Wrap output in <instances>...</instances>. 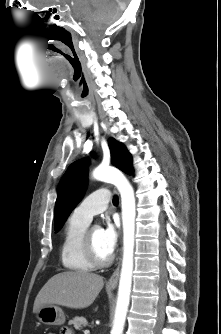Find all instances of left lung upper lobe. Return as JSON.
Wrapping results in <instances>:
<instances>
[{
  "label": "left lung upper lobe",
  "mask_w": 221,
  "mask_h": 334,
  "mask_svg": "<svg viewBox=\"0 0 221 334\" xmlns=\"http://www.w3.org/2000/svg\"><path fill=\"white\" fill-rule=\"evenodd\" d=\"M114 165L125 172L132 174V157L124 145L113 138L108 140ZM86 160L73 162L61 178L57 188V200L55 203L54 230L58 232L66 218L81 200L87 186Z\"/></svg>",
  "instance_id": "5c2ea615"
}]
</instances>
